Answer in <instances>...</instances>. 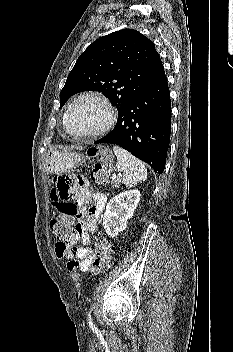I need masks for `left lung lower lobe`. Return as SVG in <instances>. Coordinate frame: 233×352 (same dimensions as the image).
<instances>
[{"label": "left lung lower lobe", "instance_id": "1", "mask_svg": "<svg viewBox=\"0 0 233 352\" xmlns=\"http://www.w3.org/2000/svg\"><path fill=\"white\" fill-rule=\"evenodd\" d=\"M171 132V101L164 73L119 114L114 129L96 144L118 145L163 173Z\"/></svg>", "mask_w": 233, "mask_h": 352}]
</instances>
